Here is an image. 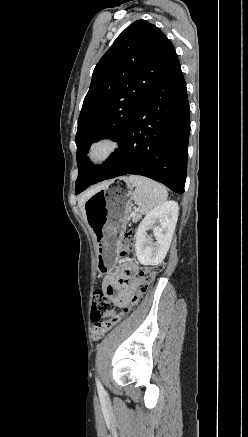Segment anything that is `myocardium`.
I'll return each mask as SVG.
<instances>
[{"mask_svg": "<svg viewBox=\"0 0 248 437\" xmlns=\"http://www.w3.org/2000/svg\"><path fill=\"white\" fill-rule=\"evenodd\" d=\"M119 142L109 135L95 138L86 151V162L89 167H101L109 162L119 149Z\"/></svg>", "mask_w": 248, "mask_h": 437, "instance_id": "f54148a6", "label": "myocardium"}]
</instances>
